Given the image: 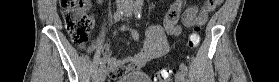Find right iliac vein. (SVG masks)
I'll return each instance as SVG.
<instances>
[{"label":"right iliac vein","mask_w":279,"mask_h":82,"mask_svg":"<svg viewBox=\"0 0 279 82\" xmlns=\"http://www.w3.org/2000/svg\"><path fill=\"white\" fill-rule=\"evenodd\" d=\"M124 6H125V3L123 2V0L117 4L118 10H121L122 8H124ZM106 75H107L106 67L105 66L100 67V69H99V79H100L101 82H103L105 80Z\"/></svg>","instance_id":"1"}]
</instances>
